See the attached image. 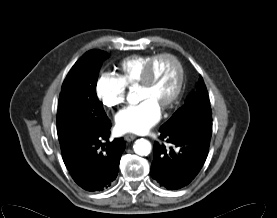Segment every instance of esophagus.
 Segmentation results:
<instances>
[{"instance_id":"1","label":"esophagus","mask_w":277,"mask_h":218,"mask_svg":"<svg viewBox=\"0 0 277 218\" xmlns=\"http://www.w3.org/2000/svg\"><path fill=\"white\" fill-rule=\"evenodd\" d=\"M135 138H136V136L133 134H127L124 136V139L128 142L133 141Z\"/></svg>"}]
</instances>
